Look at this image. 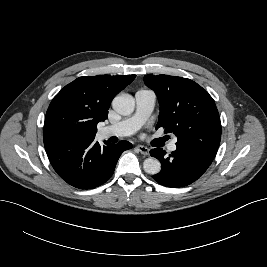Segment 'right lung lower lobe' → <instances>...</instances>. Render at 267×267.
I'll return each mask as SVG.
<instances>
[{"label": "right lung lower lobe", "instance_id": "obj_1", "mask_svg": "<svg viewBox=\"0 0 267 267\" xmlns=\"http://www.w3.org/2000/svg\"><path fill=\"white\" fill-rule=\"evenodd\" d=\"M105 144L101 147L93 139L49 141L44 146L51 165L65 182L79 189H92L112 176L121 154L132 148L128 141Z\"/></svg>", "mask_w": 267, "mask_h": 267}]
</instances>
